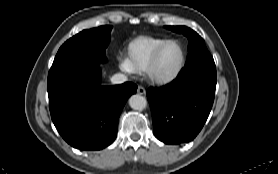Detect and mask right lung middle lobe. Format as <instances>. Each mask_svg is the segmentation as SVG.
<instances>
[{
    "instance_id": "dd1d6c3e",
    "label": "right lung middle lobe",
    "mask_w": 278,
    "mask_h": 174,
    "mask_svg": "<svg viewBox=\"0 0 278 174\" xmlns=\"http://www.w3.org/2000/svg\"><path fill=\"white\" fill-rule=\"evenodd\" d=\"M112 26L83 30L67 40L59 49L52 67L62 62L86 58L96 62H106L105 50L110 41Z\"/></svg>"
}]
</instances>
